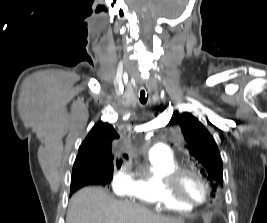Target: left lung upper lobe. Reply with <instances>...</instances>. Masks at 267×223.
<instances>
[{"instance_id": "5c2ea615", "label": "left lung upper lobe", "mask_w": 267, "mask_h": 223, "mask_svg": "<svg viewBox=\"0 0 267 223\" xmlns=\"http://www.w3.org/2000/svg\"><path fill=\"white\" fill-rule=\"evenodd\" d=\"M179 125L187 142L186 148L200 173L212 191L219 190L223 184V164L213 136L191 113H183L179 117Z\"/></svg>"}]
</instances>
